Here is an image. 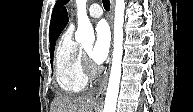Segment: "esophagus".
<instances>
[{
    "instance_id": "34e87169",
    "label": "esophagus",
    "mask_w": 193,
    "mask_h": 112,
    "mask_svg": "<svg viewBox=\"0 0 193 112\" xmlns=\"http://www.w3.org/2000/svg\"><path fill=\"white\" fill-rule=\"evenodd\" d=\"M110 2H111V14H110L111 26L113 27L114 0H111ZM107 81H108V74L105 76V78L101 84V87L96 95V99L98 101H101L104 98L106 87H107Z\"/></svg>"
}]
</instances>
